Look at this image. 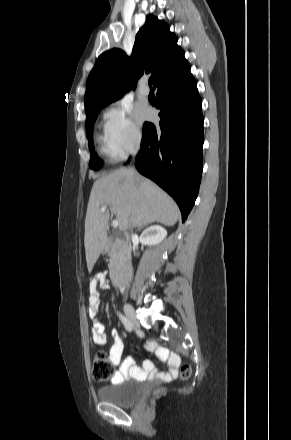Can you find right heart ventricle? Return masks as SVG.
<instances>
[{
    "label": "right heart ventricle",
    "mask_w": 291,
    "mask_h": 440,
    "mask_svg": "<svg viewBox=\"0 0 291 440\" xmlns=\"http://www.w3.org/2000/svg\"><path fill=\"white\" fill-rule=\"evenodd\" d=\"M96 141L98 144V152L103 158L107 160H112L115 158L108 145L105 135H98Z\"/></svg>",
    "instance_id": "obj_1"
}]
</instances>
